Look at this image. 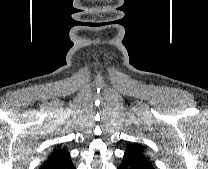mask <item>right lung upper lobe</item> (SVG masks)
<instances>
[{"mask_svg": "<svg viewBox=\"0 0 208 169\" xmlns=\"http://www.w3.org/2000/svg\"><path fill=\"white\" fill-rule=\"evenodd\" d=\"M70 158V154L65 149H55L47 158V160L42 165L41 169H49L50 167L65 161Z\"/></svg>", "mask_w": 208, "mask_h": 169, "instance_id": "obj_1", "label": "right lung upper lobe"}]
</instances>
